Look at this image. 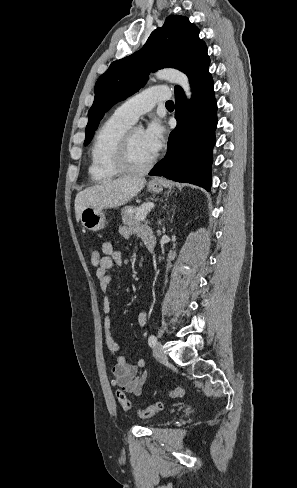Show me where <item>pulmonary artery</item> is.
<instances>
[{"mask_svg": "<svg viewBox=\"0 0 297 488\" xmlns=\"http://www.w3.org/2000/svg\"><path fill=\"white\" fill-rule=\"evenodd\" d=\"M170 99V91L161 86L147 88L123 102L115 114L133 124L139 116L149 112L157 102Z\"/></svg>", "mask_w": 297, "mask_h": 488, "instance_id": "e3ab8cb5", "label": "pulmonary artery"}]
</instances>
